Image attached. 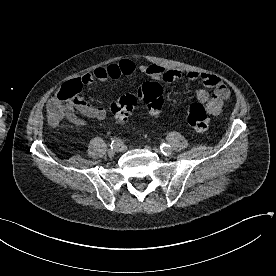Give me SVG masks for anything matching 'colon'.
<instances>
[{
    "label": "colon",
    "instance_id": "1",
    "mask_svg": "<svg viewBox=\"0 0 276 276\" xmlns=\"http://www.w3.org/2000/svg\"><path fill=\"white\" fill-rule=\"evenodd\" d=\"M82 84L78 79L64 83L50 99L49 115L52 121L58 122L64 115L69 114L74 104L81 96ZM162 87L156 81L146 82L136 95L126 94L111 105V112L116 122L125 124L139 101H142L149 113L158 117L163 105ZM188 125L195 133H205L209 129V120L205 107L200 103H192L186 111Z\"/></svg>",
    "mask_w": 276,
    "mask_h": 276
}]
</instances>
